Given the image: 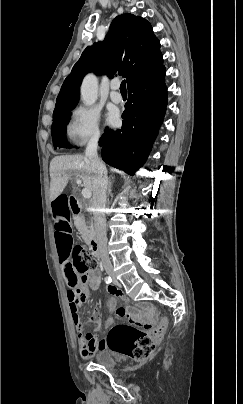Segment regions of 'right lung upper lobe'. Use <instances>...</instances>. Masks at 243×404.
<instances>
[{
  "instance_id": "right-lung-upper-lobe-1",
  "label": "right lung upper lobe",
  "mask_w": 243,
  "mask_h": 404,
  "mask_svg": "<svg viewBox=\"0 0 243 404\" xmlns=\"http://www.w3.org/2000/svg\"><path fill=\"white\" fill-rule=\"evenodd\" d=\"M163 63L160 42L150 23L132 14L117 16L104 42L87 47L65 79L56 100L54 113L75 107L85 74L115 73L126 78L128 86L156 71Z\"/></svg>"
}]
</instances>
